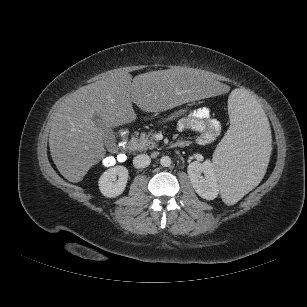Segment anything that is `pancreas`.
Masks as SVG:
<instances>
[{
	"label": "pancreas",
	"instance_id": "obj_1",
	"mask_svg": "<svg viewBox=\"0 0 307 307\" xmlns=\"http://www.w3.org/2000/svg\"><path fill=\"white\" fill-rule=\"evenodd\" d=\"M131 145L133 150L146 151L148 149H154L158 147V143L155 140V133L150 131L148 133H141L140 136H134L131 139Z\"/></svg>",
	"mask_w": 307,
	"mask_h": 307
}]
</instances>
